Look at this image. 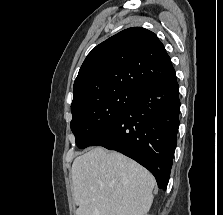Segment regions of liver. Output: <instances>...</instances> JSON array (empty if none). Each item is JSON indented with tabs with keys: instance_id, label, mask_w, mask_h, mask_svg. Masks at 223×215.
I'll return each instance as SVG.
<instances>
[{
	"instance_id": "6515ba94",
	"label": "liver",
	"mask_w": 223,
	"mask_h": 215,
	"mask_svg": "<svg viewBox=\"0 0 223 215\" xmlns=\"http://www.w3.org/2000/svg\"><path fill=\"white\" fill-rule=\"evenodd\" d=\"M71 171L76 215H144L151 207L154 175L122 153L93 147Z\"/></svg>"
}]
</instances>
